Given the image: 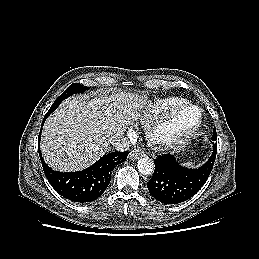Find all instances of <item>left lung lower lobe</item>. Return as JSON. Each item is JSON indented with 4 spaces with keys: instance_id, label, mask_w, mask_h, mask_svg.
I'll use <instances>...</instances> for the list:
<instances>
[{
    "instance_id": "1",
    "label": "left lung lower lobe",
    "mask_w": 259,
    "mask_h": 259,
    "mask_svg": "<svg viewBox=\"0 0 259 259\" xmlns=\"http://www.w3.org/2000/svg\"><path fill=\"white\" fill-rule=\"evenodd\" d=\"M208 161L198 169L179 164L176 155L165 154L154 159L153 177L147 183L150 194L165 204H178L193 197L210 175L217 153V142Z\"/></svg>"
}]
</instances>
